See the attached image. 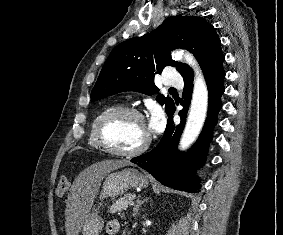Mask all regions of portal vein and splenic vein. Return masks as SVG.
I'll use <instances>...</instances> for the list:
<instances>
[{"mask_svg": "<svg viewBox=\"0 0 283 235\" xmlns=\"http://www.w3.org/2000/svg\"><path fill=\"white\" fill-rule=\"evenodd\" d=\"M135 197V196H134ZM134 204V202L133 201H131L130 203H129V205H133Z\"/></svg>", "mask_w": 283, "mask_h": 235, "instance_id": "18ae733b", "label": "portal vein and splenic vein"}]
</instances>
